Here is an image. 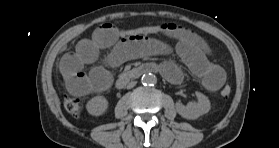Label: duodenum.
I'll return each mask as SVG.
<instances>
[{
  "label": "duodenum",
  "mask_w": 279,
  "mask_h": 148,
  "mask_svg": "<svg viewBox=\"0 0 279 148\" xmlns=\"http://www.w3.org/2000/svg\"><path fill=\"white\" fill-rule=\"evenodd\" d=\"M156 64L154 63H144L126 73L121 74L116 80L115 87L117 89L124 88L130 81L140 78L142 75L156 72Z\"/></svg>",
  "instance_id": "obj_1"
}]
</instances>
